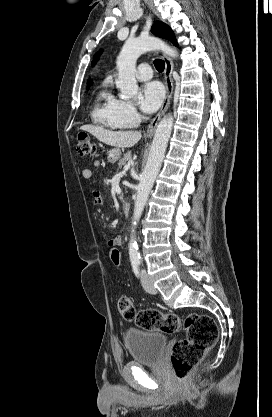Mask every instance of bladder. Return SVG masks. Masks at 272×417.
<instances>
[{
  "label": "bladder",
  "instance_id": "31cf9c89",
  "mask_svg": "<svg viewBox=\"0 0 272 417\" xmlns=\"http://www.w3.org/2000/svg\"><path fill=\"white\" fill-rule=\"evenodd\" d=\"M124 343L134 362L154 365L163 356L167 337L158 332L130 328L124 333Z\"/></svg>",
  "mask_w": 272,
  "mask_h": 417
}]
</instances>
